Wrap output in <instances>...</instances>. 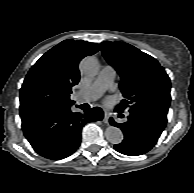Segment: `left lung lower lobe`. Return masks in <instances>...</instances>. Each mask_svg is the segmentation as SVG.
I'll list each match as a JSON object with an SVG mask.
<instances>
[{"instance_id": "1", "label": "left lung lower lobe", "mask_w": 194, "mask_h": 193, "mask_svg": "<svg viewBox=\"0 0 194 193\" xmlns=\"http://www.w3.org/2000/svg\"><path fill=\"white\" fill-rule=\"evenodd\" d=\"M118 112L121 110L118 108ZM128 120L117 123L110 118L112 126L120 128L124 133V139L114 148L125 155L138 156L148 152L158 141L167 123V114L129 111Z\"/></svg>"}]
</instances>
